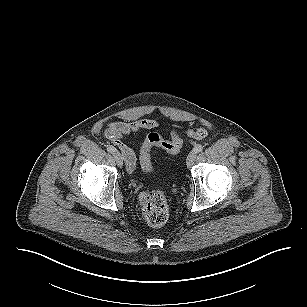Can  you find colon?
<instances>
[{
    "label": "colon",
    "instance_id": "5ec220e1",
    "mask_svg": "<svg viewBox=\"0 0 307 307\" xmlns=\"http://www.w3.org/2000/svg\"><path fill=\"white\" fill-rule=\"evenodd\" d=\"M186 133L196 139H203L207 136L205 128L188 129ZM182 145V132L178 129L171 131L169 139H164L156 132L149 133L140 150V160L143 169L146 172L152 170L151 150L154 147H160L171 154H176L181 150ZM139 208L145 221L153 226L165 224L170 215V206L166 196L156 190L143 191L140 194Z\"/></svg>",
    "mask_w": 307,
    "mask_h": 307
}]
</instances>
